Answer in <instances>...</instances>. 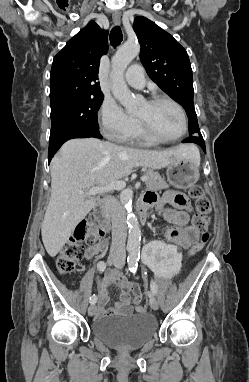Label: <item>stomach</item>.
<instances>
[{
    "instance_id": "stomach-1",
    "label": "stomach",
    "mask_w": 249,
    "mask_h": 382,
    "mask_svg": "<svg viewBox=\"0 0 249 382\" xmlns=\"http://www.w3.org/2000/svg\"><path fill=\"white\" fill-rule=\"evenodd\" d=\"M199 162L191 156L179 157L167 167L169 183L178 189H187L199 179Z\"/></svg>"
}]
</instances>
